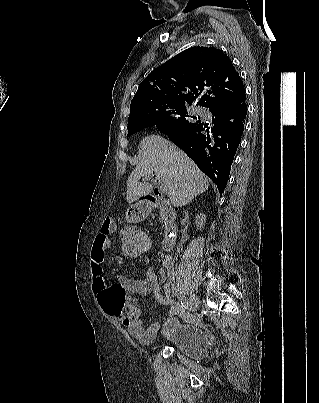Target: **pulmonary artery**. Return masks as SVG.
Returning a JSON list of instances; mask_svg holds the SVG:
<instances>
[{
    "label": "pulmonary artery",
    "instance_id": "1",
    "mask_svg": "<svg viewBox=\"0 0 319 403\" xmlns=\"http://www.w3.org/2000/svg\"><path fill=\"white\" fill-rule=\"evenodd\" d=\"M199 111L201 112V113H205V109H199Z\"/></svg>",
    "mask_w": 319,
    "mask_h": 403
}]
</instances>
